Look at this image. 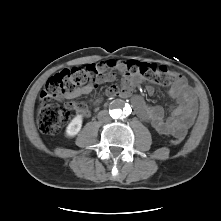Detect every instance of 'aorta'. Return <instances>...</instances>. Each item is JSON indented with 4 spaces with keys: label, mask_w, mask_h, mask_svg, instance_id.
Returning <instances> with one entry per match:
<instances>
[{
    "label": "aorta",
    "mask_w": 221,
    "mask_h": 221,
    "mask_svg": "<svg viewBox=\"0 0 221 221\" xmlns=\"http://www.w3.org/2000/svg\"><path fill=\"white\" fill-rule=\"evenodd\" d=\"M111 115L114 119H121L124 116V111L122 107H118L111 111Z\"/></svg>",
    "instance_id": "762f6f07"
}]
</instances>
